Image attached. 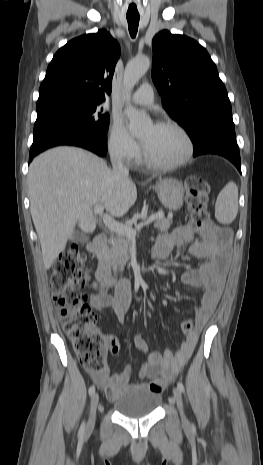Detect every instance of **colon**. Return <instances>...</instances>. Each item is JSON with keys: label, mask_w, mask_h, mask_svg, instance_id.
Wrapping results in <instances>:
<instances>
[{"label": "colon", "mask_w": 263, "mask_h": 465, "mask_svg": "<svg viewBox=\"0 0 263 465\" xmlns=\"http://www.w3.org/2000/svg\"><path fill=\"white\" fill-rule=\"evenodd\" d=\"M188 223L201 230L208 231L210 223L206 205L210 193L209 182L201 176L193 175L185 182ZM85 256L76 244H71L57 259L51 274L53 300L59 307L63 330L72 342L80 364L91 372L105 369L107 351L106 338L97 328V316L84 298L75 293V289L87 282L84 276ZM183 333L194 329L192 319L181 322Z\"/></svg>", "instance_id": "colon-1"}]
</instances>
